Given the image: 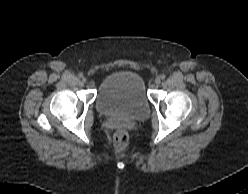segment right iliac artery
Listing matches in <instances>:
<instances>
[{"mask_svg":"<svg viewBox=\"0 0 248 194\" xmlns=\"http://www.w3.org/2000/svg\"><path fill=\"white\" fill-rule=\"evenodd\" d=\"M78 76H79L80 78H82V77H83V74H82V73H79Z\"/></svg>","mask_w":248,"mask_h":194,"instance_id":"82829eb1","label":"right iliac artery"}]
</instances>
